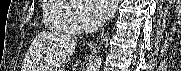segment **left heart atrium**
<instances>
[{
    "mask_svg": "<svg viewBox=\"0 0 181 71\" xmlns=\"http://www.w3.org/2000/svg\"><path fill=\"white\" fill-rule=\"evenodd\" d=\"M87 3L95 18L100 20L108 19L116 6L114 0H89Z\"/></svg>",
    "mask_w": 181,
    "mask_h": 71,
    "instance_id": "obj_1",
    "label": "left heart atrium"
}]
</instances>
